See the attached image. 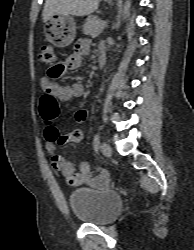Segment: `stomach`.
<instances>
[{"instance_id": "0dacf381", "label": "stomach", "mask_w": 194, "mask_h": 250, "mask_svg": "<svg viewBox=\"0 0 194 250\" xmlns=\"http://www.w3.org/2000/svg\"><path fill=\"white\" fill-rule=\"evenodd\" d=\"M47 40L57 47L69 46L76 37V23L70 15L56 14L45 26Z\"/></svg>"}]
</instances>
